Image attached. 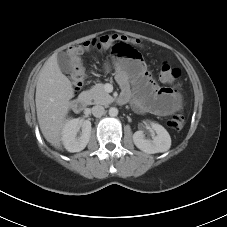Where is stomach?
Here are the masks:
<instances>
[{
    "mask_svg": "<svg viewBox=\"0 0 227 227\" xmlns=\"http://www.w3.org/2000/svg\"><path fill=\"white\" fill-rule=\"evenodd\" d=\"M105 68H106L107 71H109V70H110V65L107 64V65L105 66Z\"/></svg>",
    "mask_w": 227,
    "mask_h": 227,
    "instance_id": "stomach-1",
    "label": "stomach"
}]
</instances>
